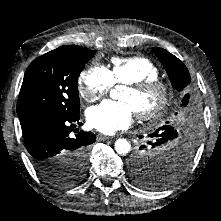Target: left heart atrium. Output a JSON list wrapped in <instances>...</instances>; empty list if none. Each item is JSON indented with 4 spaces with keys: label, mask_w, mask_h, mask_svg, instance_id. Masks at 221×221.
I'll use <instances>...</instances> for the list:
<instances>
[{
    "label": "left heart atrium",
    "mask_w": 221,
    "mask_h": 221,
    "mask_svg": "<svg viewBox=\"0 0 221 221\" xmlns=\"http://www.w3.org/2000/svg\"><path fill=\"white\" fill-rule=\"evenodd\" d=\"M134 110L123 101L105 100L87 110V121L93 128L105 134L125 129L132 123Z\"/></svg>",
    "instance_id": "obj_1"
}]
</instances>
